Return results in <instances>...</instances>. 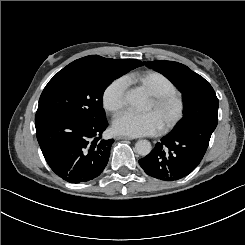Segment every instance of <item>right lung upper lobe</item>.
I'll use <instances>...</instances> for the list:
<instances>
[{"mask_svg":"<svg viewBox=\"0 0 245 245\" xmlns=\"http://www.w3.org/2000/svg\"><path fill=\"white\" fill-rule=\"evenodd\" d=\"M93 56H98V55H93ZM99 57H101V56H99ZM135 60V59H134ZM138 61V63L140 64V66L141 65H143V63L141 62V61H139V60H137Z\"/></svg>","mask_w":245,"mask_h":245,"instance_id":"obj_1","label":"right lung upper lobe"}]
</instances>
